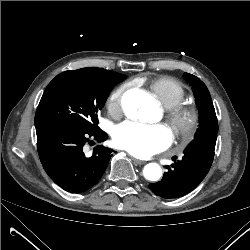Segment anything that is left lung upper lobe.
<instances>
[{"mask_svg": "<svg viewBox=\"0 0 250 250\" xmlns=\"http://www.w3.org/2000/svg\"><path fill=\"white\" fill-rule=\"evenodd\" d=\"M184 78L192 86L196 106L199 110V128L195 138L218 133L215 109L206 85L196 76L184 73Z\"/></svg>", "mask_w": 250, "mask_h": 250, "instance_id": "obj_1", "label": "left lung upper lobe"}]
</instances>
